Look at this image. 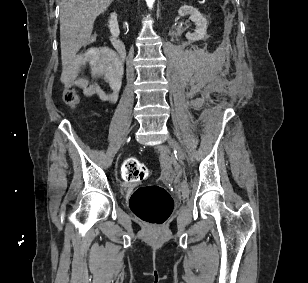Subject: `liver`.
<instances>
[{
  "instance_id": "6515ba94",
  "label": "liver",
  "mask_w": 308,
  "mask_h": 283,
  "mask_svg": "<svg viewBox=\"0 0 308 283\" xmlns=\"http://www.w3.org/2000/svg\"><path fill=\"white\" fill-rule=\"evenodd\" d=\"M113 0H60V45L63 64L90 39L95 19Z\"/></svg>"
}]
</instances>
